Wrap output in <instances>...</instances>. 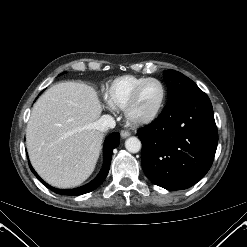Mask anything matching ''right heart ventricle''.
I'll return each mask as SVG.
<instances>
[{
	"instance_id": "e07e8e85",
	"label": "right heart ventricle",
	"mask_w": 247,
	"mask_h": 247,
	"mask_svg": "<svg viewBox=\"0 0 247 247\" xmlns=\"http://www.w3.org/2000/svg\"><path fill=\"white\" fill-rule=\"evenodd\" d=\"M147 77L125 75L113 80L106 89L105 99L115 109H123L133 89Z\"/></svg>"
}]
</instances>
